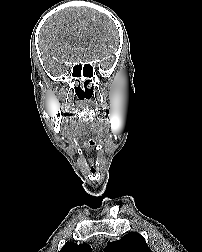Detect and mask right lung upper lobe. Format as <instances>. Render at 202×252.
<instances>
[{"mask_svg": "<svg viewBox=\"0 0 202 252\" xmlns=\"http://www.w3.org/2000/svg\"><path fill=\"white\" fill-rule=\"evenodd\" d=\"M59 252H92L88 244L77 245L72 242H67Z\"/></svg>", "mask_w": 202, "mask_h": 252, "instance_id": "right-lung-upper-lobe-1", "label": "right lung upper lobe"}]
</instances>
